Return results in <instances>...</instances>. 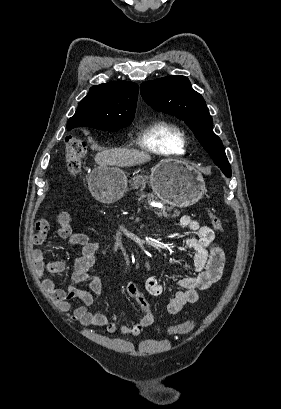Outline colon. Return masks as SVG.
<instances>
[{"label": "colon", "mask_w": 281, "mask_h": 409, "mask_svg": "<svg viewBox=\"0 0 281 409\" xmlns=\"http://www.w3.org/2000/svg\"><path fill=\"white\" fill-rule=\"evenodd\" d=\"M84 151H85V146L80 140L74 137H70L67 140L66 147H65V160L67 162L69 169L71 170L79 169L81 165V161L83 159ZM209 219H210L212 226L215 229L219 231L223 230V223L218 214L211 212L209 214ZM179 326L181 328L180 333L187 334L188 330L186 328L188 329L195 328L196 324L191 323V322L186 323L183 321L180 323ZM169 333L177 335L179 333V330L177 328L170 329Z\"/></svg>", "instance_id": "obj_1"}]
</instances>
